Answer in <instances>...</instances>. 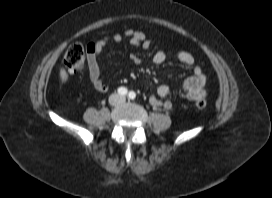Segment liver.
Listing matches in <instances>:
<instances>
[{"label": "liver", "mask_w": 272, "mask_h": 198, "mask_svg": "<svg viewBox=\"0 0 272 198\" xmlns=\"http://www.w3.org/2000/svg\"><path fill=\"white\" fill-rule=\"evenodd\" d=\"M60 78L63 83H65L68 80V74L64 68L60 69Z\"/></svg>", "instance_id": "liver-1"}]
</instances>
